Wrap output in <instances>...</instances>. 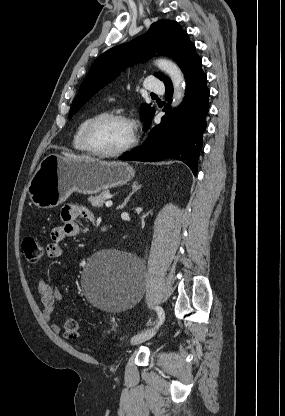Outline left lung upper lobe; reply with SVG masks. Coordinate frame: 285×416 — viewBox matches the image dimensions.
<instances>
[{
  "label": "left lung upper lobe",
  "instance_id": "left-lung-upper-lobe-1",
  "mask_svg": "<svg viewBox=\"0 0 285 416\" xmlns=\"http://www.w3.org/2000/svg\"><path fill=\"white\" fill-rule=\"evenodd\" d=\"M155 55H165L175 60L183 70L186 65L199 57L195 45L186 31L175 21L159 20L142 36L130 43L118 45L100 55L92 64L74 99L69 113L72 117L98 90L115 79L122 68ZM165 83L171 82L162 73H155ZM155 109L149 104L141 107V117L147 124Z\"/></svg>",
  "mask_w": 285,
  "mask_h": 416
}]
</instances>
